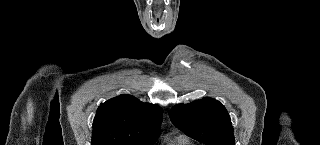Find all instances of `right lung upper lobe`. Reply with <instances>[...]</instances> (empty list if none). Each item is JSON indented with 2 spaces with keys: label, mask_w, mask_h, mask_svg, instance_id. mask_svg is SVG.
Instances as JSON below:
<instances>
[{
  "label": "right lung upper lobe",
  "mask_w": 320,
  "mask_h": 145,
  "mask_svg": "<svg viewBox=\"0 0 320 145\" xmlns=\"http://www.w3.org/2000/svg\"><path fill=\"white\" fill-rule=\"evenodd\" d=\"M162 109L121 95L101 104L93 123L92 145H151L160 135Z\"/></svg>",
  "instance_id": "cb5924a9"
}]
</instances>
